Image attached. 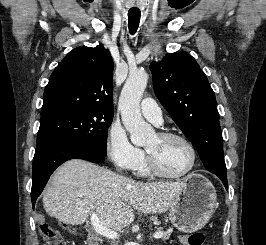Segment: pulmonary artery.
<instances>
[{
  "instance_id": "pulmonary-artery-1",
  "label": "pulmonary artery",
  "mask_w": 266,
  "mask_h": 245,
  "mask_svg": "<svg viewBox=\"0 0 266 245\" xmlns=\"http://www.w3.org/2000/svg\"><path fill=\"white\" fill-rule=\"evenodd\" d=\"M150 97L140 101V110L145 118L158 124L162 121V111L157 104H154Z\"/></svg>"
}]
</instances>
